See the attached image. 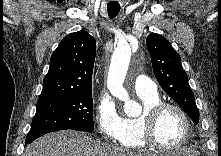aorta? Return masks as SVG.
<instances>
[{"label":"aorta","mask_w":221,"mask_h":156,"mask_svg":"<svg viewBox=\"0 0 221 156\" xmlns=\"http://www.w3.org/2000/svg\"><path fill=\"white\" fill-rule=\"evenodd\" d=\"M131 57V46L127 40L119 41L112 56L108 78L107 87L110 93L124 102V112L129 117H136L141 114V106L130 100L127 90L123 87V83L128 70Z\"/></svg>","instance_id":"762f6f07"}]
</instances>
